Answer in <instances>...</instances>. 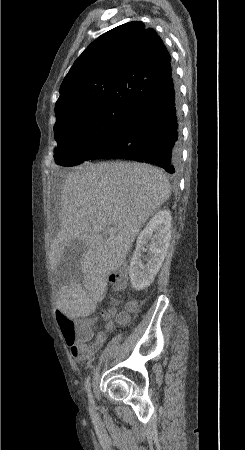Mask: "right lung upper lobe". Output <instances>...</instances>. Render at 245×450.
Here are the masks:
<instances>
[{
	"label": "right lung upper lobe",
	"instance_id": "obj_1",
	"mask_svg": "<svg viewBox=\"0 0 245 450\" xmlns=\"http://www.w3.org/2000/svg\"><path fill=\"white\" fill-rule=\"evenodd\" d=\"M161 38L140 21L104 33L76 59L60 87L56 116L107 104L133 107L172 75Z\"/></svg>",
	"mask_w": 245,
	"mask_h": 450
}]
</instances>
